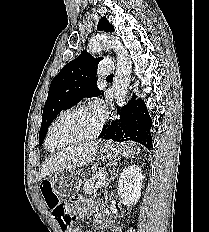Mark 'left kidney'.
Instances as JSON below:
<instances>
[{"label":"left kidney","mask_w":209,"mask_h":232,"mask_svg":"<svg viewBox=\"0 0 209 232\" xmlns=\"http://www.w3.org/2000/svg\"><path fill=\"white\" fill-rule=\"evenodd\" d=\"M144 176L137 165L126 167L120 174L118 181V194L127 205L136 204L141 196Z\"/></svg>","instance_id":"left-kidney-1"}]
</instances>
